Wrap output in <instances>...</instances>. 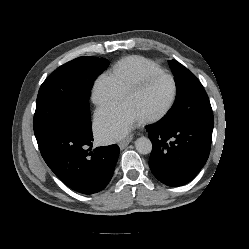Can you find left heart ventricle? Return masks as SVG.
I'll use <instances>...</instances> for the list:
<instances>
[{
  "mask_svg": "<svg viewBox=\"0 0 249 249\" xmlns=\"http://www.w3.org/2000/svg\"><path fill=\"white\" fill-rule=\"evenodd\" d=\"M172 83L168 78L158 77L151 80L141 90L124 99L140 117H146L160 111L169 101Z\"/></svg>",
  "mask_w": 249,
  "mask_h": 249,
  "instance_id": "obj_1",
  "label": "left heart ventricle"
}]
</instances>
